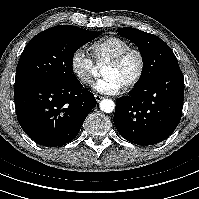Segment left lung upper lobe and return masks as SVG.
Returning a JSON list of instances; mask_svg holds the SVG:
<instances>
[{"label": "left lung upper lobe", "instance_id": "5c2ea615", "mask_svg": "<svg viewBox=\"0 0 199 199\" xmlns=\"http://www.w3.org/2000/svg\"><path fill=\"white\" fill-rule=\"evenodd\" d=\"M118 34L134 42L143 58V73L136 86H141L163 71L178 66L171 48L159 37L135 28L124 27Z\"/></svg>", "mask_w": 199, "mask_h": 199}]
</instances>
